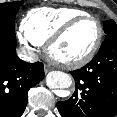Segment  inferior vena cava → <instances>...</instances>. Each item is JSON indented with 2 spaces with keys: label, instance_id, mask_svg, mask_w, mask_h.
I'll return each mask as SVG.
<instances>
[{
  "label": "inferior vena cava",
  "instance_id": "inferior-vena-cava-1",
  "mask_svg": "<svg viewBox=\"0 0 117 117\" xmlns=\"http://www.w3.org/2000/svg\"><path fill=\"white\" fill-rule=\"evenodd\" d=\"M17 55L20 59L24 60V61H28V62H36L38 61V56L32 52L29 51L25 48H21L17 51Z\"/></svg>",
  "mask_w": 117,
  "mask_h": 117
}]
</instances>
